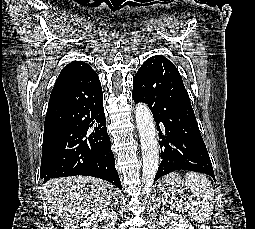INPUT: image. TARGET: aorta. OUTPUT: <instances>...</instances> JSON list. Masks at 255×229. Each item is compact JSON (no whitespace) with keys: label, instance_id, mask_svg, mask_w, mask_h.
Segmentation results:
<instances>
[{"label":"aorta","instance_id":"obj_1","mask_svg":"<svg viewBox=\"0 0 255 229\" xmlns=\"http://www.w3.org/2000/svg\"><path fill=\"white\" fill-rule=\"evenodd\" d=\"M135 118L142 150V194L149 197L159 166V148L154 119L150 109L143 103L136 105Z\"/></svg>","mask_w":255,"mask_h":229}]
</instances>
